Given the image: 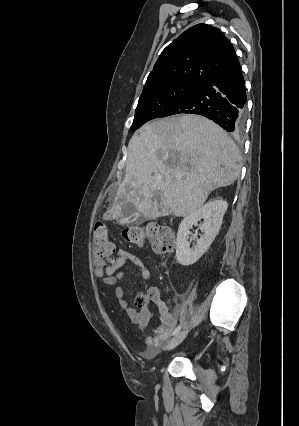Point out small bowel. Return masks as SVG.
<instances>
[{
    "label": "small bowel",
    "instance_id": "obj_1",
    "mask_svg": "<svg viewBox=\"0 0 299 426\" xmlns=\"http://www.w3.org/2000/svg\"><path fill=\"white\" fill-rule=\"evenodd\" d=\"M114 254L116 258L111 264H106L102 259L95 256L94 258V272L96 277L100 278L107 286H116L115 296L118 300L120 307L124 310L128 319L135 324L139 330L143 331L149 324L151 312L147 305L143 306L140 310L132 308L126 296L123 287L117 285L118 281L123 278L124 273L120 269L126 263H132L137 269L140 276L144 280H149L151 277L150 270L146 263L137 255L115 247ZM148 295L150 301L157 304L159 307L161 324L153 330V334L148 336L145 343V349L141 355L145 358L154 357L159 350L163 347L169 338L172 329L177 321V313L170 315L165 302L162 300L160 291L157 287L151 286L148 288Z\"/></svg>",
    "mask_w": 299,
    "mask_h": 426
}]
</instances>
